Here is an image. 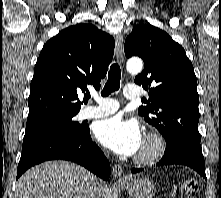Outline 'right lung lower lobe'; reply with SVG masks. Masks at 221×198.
I'll list each match as a JSON object with an SVG mask.
<instances>
[{
  "mask_svg": "<svg viewBox=\"0 0 221 198\" xmlns=\"http://www.w3.org/2000/svg\"><path fill=\"white\" fill-rule=\"evenodd\" d=\"M54 159L78 163L104 180L110 177L109 161L100 148L92 142L87 127L79 135H50L23 146L16 179L30 167Z\"/></svg>",
  "mask_w": 221,
  "mask_h": 198,
  "instance_id": "1",
  "label": "right lung lower lobe"
}]
</instances>
